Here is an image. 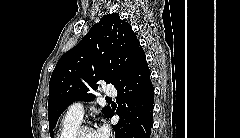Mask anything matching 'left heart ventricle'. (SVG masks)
Masks as SVG:
<instances>
[{
  "label": "left heart ventricle",
  "mask_w": 240,
  "mask_h": 138,
  "mask_svg": "<svg viewBox=\"0 0 240 138\" xmlns=\"http://www.w3.org/2000/svg\"><path fill=\"white\" fill-rule=\"evenodd\" d=\"M81 138H97V135L94 130L90 129V130L85 131L82 134Z\"/></svg>",
  "instance_id": "1"
}]
</instances>
